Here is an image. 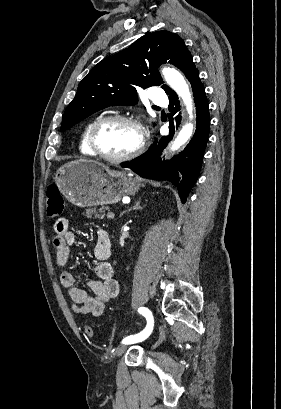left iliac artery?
<instances>
[{"label": "left iliac artery", "mask_w": 281, "mask_h": 409, "mask_svg": "<svg viewBox=\"0 0 281 409\" xmlns=\"http://www.w3.org/2000/svg\"><path fill=\"white\" fill-rule=\"evenodd\" d=\"M138 311L140 314H142L146 318L147 326L142 332L136 335H130L124 338L122 341L123 344H131V343H136V342L145 340L151 334L153 330V316H152L151 311L145 307L139 308Z\"/></svg>", "instance_id": "left-iliac-artery-1"}]
</instances>
